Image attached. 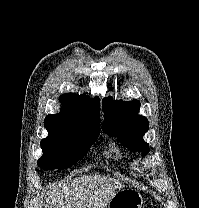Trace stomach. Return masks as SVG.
<instances>
[{
  "label": "stomach",
  "instance_id": "obj_1",
  "mask_svg": "<svg viewBox=\"0 0 199 208\" xmlns=\"http://www.w3.org/2000/svg\"><path fill=\"white\" fill-rule=\"evenodd\" d=\"M143 197L139 191L123 188L108 203L107 208H142Z\"/></svg>",
  "mask_w": 199,
  "mask_h": 208
}]
</instances>
